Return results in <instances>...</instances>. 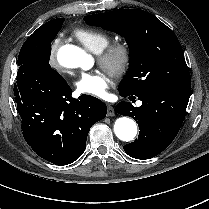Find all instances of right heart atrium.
<instances>
[{"label": "right heart atrium", "instance_id": "d8ad5b80", "mask_svg": "<svg viewBox=\"0 0 209 209\" xmlns=\"http://www.w3.org/2000/svg\"><path fill=\"white\" fill-rule=\"evenodd\" d=\"M61 45V40L55 38L51 41L48 51V61L53 68H57V51Z\"/></svg>", "mask_w": 209, "mask_h": 209}]
</instances>
